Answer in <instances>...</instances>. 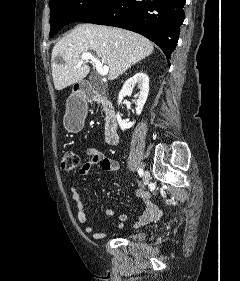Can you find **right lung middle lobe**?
Instances as JSON below:
<instances>
[{
	"label": "right lung middle lobe",
	"mask_w": 240,
	"mask_h": 281,
	"mask_svg": "<svg viewBox=\"0 0 240 281\" xmlns=\"http://www.w3.org/2000/svg\"><path fill=\"white\" fill-rule=\"evenodd\" d=\"M118 0H51L50 36L71 22L91 23L111 10Z\"/></svg>",
	"instance_id": "obj_1"
}]
</instances>
